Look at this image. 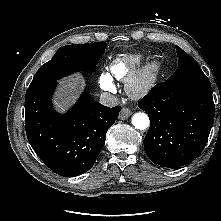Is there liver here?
I'll use <instances>...</instances> for the list:
<instances>
[{"label":"liver","instance_id":"obj_1","mask_svg":"<svg viewBox=\"0 0 221 221\" xmlns=\"http://www.w3.org/2000/svg\"><path fill=\"white\" fill-rule=\"evenodd\" d=\"M62 93L59 95L60 100L56 103L58 108L66 106L70 101L75 99V94L84 86L85 82L81 75H74L65 79Z\"/></svg>","mask_w":221,"mask_h":221}]
</instances>
